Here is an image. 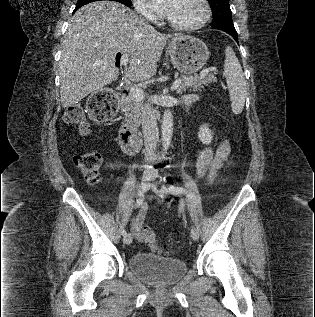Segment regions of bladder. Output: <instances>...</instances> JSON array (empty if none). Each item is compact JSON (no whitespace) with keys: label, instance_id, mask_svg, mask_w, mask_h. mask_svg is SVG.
Segmentation results:
<instances>
[{"label":"bladder","instance_id":"31cf9c89","mask_svg":"<svg viewBox=\"0 0 315 317\" xmlns=\"http://www.w3.org/2000/svg\"><path fill=\"white\" fill-rule=\"evenodd\" d=\"M128 265L140 279L154 286L176 283L187 272V264L181 259L146 252L133 254L128 260Z\"/></svg>","mask_w":315,"mask_h":317}]
</instances>
